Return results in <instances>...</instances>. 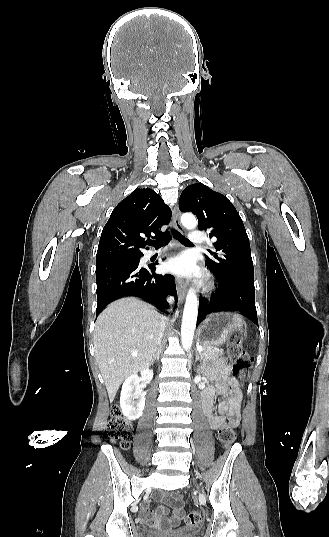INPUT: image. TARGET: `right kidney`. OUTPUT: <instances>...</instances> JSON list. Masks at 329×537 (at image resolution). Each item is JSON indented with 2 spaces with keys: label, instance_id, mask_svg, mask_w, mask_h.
I'll use <instances>...</instances> for the list:
<instances>
[{
  "label": "right kidney",
  "instance_id": "obj_1",
  "mask_svg": "<svg viewBox=\"0 0 329 537\" xmlns=\"http://www.w3.org/2000/svg\"><path fill=\"white\" fill-rule=\"evenodd\" d=\"M152 378L153 370L145 369L141 371V377L137 374H132L124 381L120 396V407L123 415L129 420H135L142 416L146 398L141 393L140 381L149 382Z\"/></svg>",
  "mask_w": 329,
  "mask_h": 537
}]
</instances>
